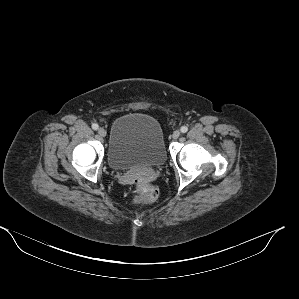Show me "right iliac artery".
Here are the masks:
<instances>
[{
  "instance_id": "obj_1",
  "label": "right iliac artery",
  "mask_w": 299,
  "mask_h": 299,
  "mask_svg": "<svg viewBox=\"0 0 299 299\" xmlns=\"http://www.w3.org/2000/svg\"><path fill=\"white\" fill-rule=\"evenodd\" d=\"M99 128L98 124L94 123L92 124V129L97 130Z\"/></svg>"
}]
</instances>
